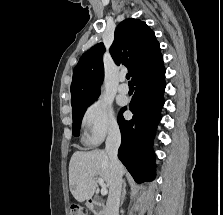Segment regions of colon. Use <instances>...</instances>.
<instances>
[{"instance_id":"colon-1","label":"colon","mask_w":223,"mask_h":215,"mask_svg":"<svg viewBox=\"0 0 223 215\" xmlns=\"http://www.w3.org/2000/svg\"><path fill=\"white\" fill-rule=\"evenodd\" d=\"M69 215H87L85 209H83L80 206H73L70 210V214Z\"/></svg>"}]
</instances>
